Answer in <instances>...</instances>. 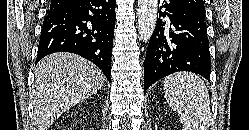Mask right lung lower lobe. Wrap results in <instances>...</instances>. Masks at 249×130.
Instances as JSON below:
<instances>
[{"label":"right lung lower lobe","mask_w":249,"mask_h":130,"mask_svg":"<svg viewBox=\"0 0 249 130\" xmlns=\"http://www.w3.org/2000/svg\"><path fill=\"white\" fill-rule=\"evenodd\" d=\"M115 0H77L43 22L36 63L55 52L78 54L110 81Z\"/></svg>","instance_id":"obj_1"}]
</instances>
